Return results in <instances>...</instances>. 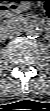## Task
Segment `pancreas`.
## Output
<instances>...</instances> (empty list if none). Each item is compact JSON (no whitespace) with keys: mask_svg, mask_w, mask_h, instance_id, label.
<instances>
[{"mask_svg":"<svg viewBox=\"0 0 50 111\" xmlns=\"http://www.w3.org/2000/svg\"><path fill=\"white\" fill-rule=\"evenodd\" d=\"M17 23V21L15 19H9V20H5L3 21V27L7 28V27H10V26H15Z\"/></svg>","mask_w":50,"mask_h":111,"instance_id":"pancreas-1","label":"pancreas"}]
</instances>
